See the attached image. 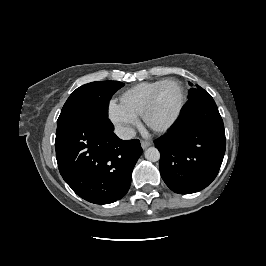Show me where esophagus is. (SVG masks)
Masks as SVG:
<instances>
[{
	"mask_svg": "<svg viewBox=\"0 0 266 266\" xmlns=\"http://www.w3.org/2000/svg\"><path fill=\"white\" fill-rule=\"evenodd\" d=\"M140 143L143 149H147L151 145V142L146 141V140H141Z\"/></svg>",
	"mask_w": 266,
	"mask_h": 266,
	"instance_id": "esophagus-1",
	"label": "esophagus"
}]
</instances>
